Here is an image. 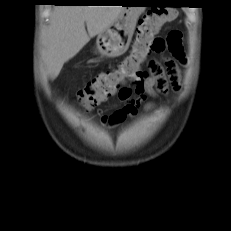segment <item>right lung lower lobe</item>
<instances>
[{"label":"right lung lower lobe","instance_id":"obj_1","mask_svg":"<svg viewBox=\"0 0 231 231\" xmlns=\"http://www.w3.org/2000/svg\"><path fill=\"white\" fill-rule=\"evenodd\" d=\"M71 2L60 1L58 4H69Z\"/></svg>","mask_w":231,"mask_h":231}]
</instances>
